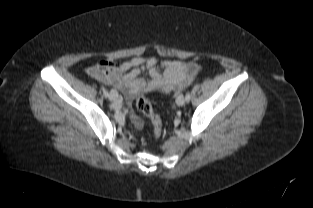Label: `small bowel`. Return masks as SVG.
I'll return each mask as SVG.
<instances>
[{
    "label": "small bowel",
    "instance_id": "small-bowel-1",
    "mask_svg": "<svg viewBox=\"0 0 313 208\" xmlns=\"http://www.w3.org/2000/svg\"><path fill=\"white\" fill-rule=\"evenodd\" d=\"M148 70L152 79L145 83L138 76ZM200 66L195 62L165 60L158 62L156 57H134L123 63L104 59L98 61L87 70V74L100 83L121 90L127 98H131L143 88L159 87L164 91L183 89L198 75ZM137 126L142 121L134 116Z\"/></svg>",
    "mask_w": 313,
    "mask_h": 208
}]
</instances>
